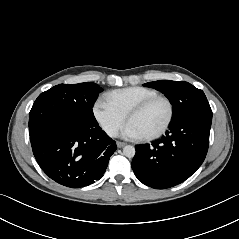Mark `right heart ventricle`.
<instances>
[{
	"label": "right heart ventricle",
	"instance_id": "1",
	"mask_svg": "<svg viewBox=\"0 0 239 239\" xmlns=\"http://www.w3.org/2000/svg\"><path fill=\"white\" fill-rule=\"evenodd\" d=\"M158 91L143 86L115 89L105 95V100L127 116L129 111L145 99L158 95Z\"/></svg>",
	"mask_w": 239,
	"mask_h": 239
}]
</instances>
